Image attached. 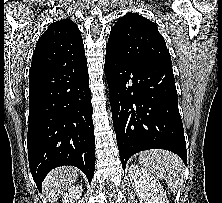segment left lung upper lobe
<instances>
[{
	"label": "left lung upper lobe",
	"instance_id": "obj_1",
	"mask_svg": "<svg viewBox=\"0 0 222 203\" xmlns=\"http://www.w3.org/2000/svg\"><path fill=\"white\" fill-rule=\"evenodd\" d=\"M131 61L160 62L171 66V56L155 23L127 13L112 27L107 48Z\"/></svg>",
	"mask_w": 222,
	"mask_h": 203
}]
</instances>
